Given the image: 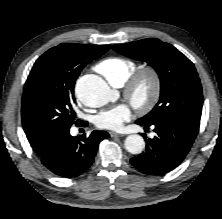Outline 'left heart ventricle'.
<instances>
[{
    "instance_id": "1",
    "label": "left heart ventricle",
    "mask_w": 222,
    "mask_h": 219,
    "mask_svg": "<svg viewBox=\"0 0 222 219\" xmlns=\"http://www.w3.org/2000/svg\"><path fill=\"white\" fill-rule=\"evenodd\" d=\"M149 92V86L147 81H143L139 84L136 91V98L139 100H143L147 97Z\"/></svg>"
}]
</instances>
